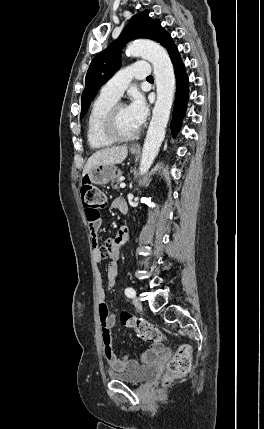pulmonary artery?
I'll return each instance as SVG.
<instances>
[{"mask_svg": "<svg viewBox=\"0 0 264 429\" xmlns=\"http://www.w3.org/2000/svg\"><path fill=\"white\" fill-rule=\"evenodd\" d=\"M149 75V64L145 61L136 62L121 69L107 81L101 89V94L118 100L132 79H145Z\"/></svg>", "mask_w": 264, "mask_h": 429, "instance_id": "pulmonary-artery-1", "label": "pulmonary artery"}]
</instances>
